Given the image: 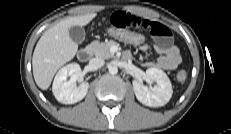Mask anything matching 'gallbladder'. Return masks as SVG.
<instances>
[{
  "instance_id": "gallbladder-1",
  "label": "gallbladder",
  "mask_w": 231,
  "mask_h": 134,
  "mask_svg": "<svg viewBox=\"0 0 231 134\" xmlns=\"http://www.w3.org/2000/svg\"><path fill=\"white\" fill-rule=\"evenodd\" d=\"M69 36L76 44H81L85 39V30L80 26H72L69 28Z\"/></svg>"
}]
</instances>
